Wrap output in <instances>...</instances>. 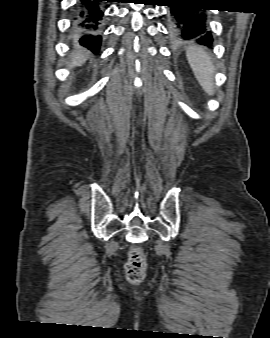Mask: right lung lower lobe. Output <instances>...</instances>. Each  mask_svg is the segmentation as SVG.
Masks as SVG:
<instances>
[{
  "label": "right lung lower lobe",
  "mask_w": 270,
  "mask_h": 338,
  "mask_svg": "<svg viewBox=\"0 0 270 338\" xmlns=\"http://www.w3.org/2000/svg\"><path fill=\"white\" fill-rule=\"evenodd\" d=\"M102 1L111 0H78L74 7V33L80 37L79 43L94 53H98L101 44Z\"/></svg>",
  "instance_id": "obj_1"
}]
</instances>
